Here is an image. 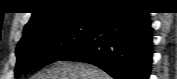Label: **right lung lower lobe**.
<instances>
[{"label":"right lung lower lobe","mask_w":177,"mask_h":79,"mask_svg":"<svg viewBox=\"0 0 177 79\" xmlns=\"http://www.w3.org/2000/svg\"><path fill=\"white\" fill-rule=\"evenodd\" d=\"M152 53L148 12L113 6L96 19L88 38L60 61L90 63L115 79H148Z\"/></svg>","instance_id":"obj_1"}]
</instances>
